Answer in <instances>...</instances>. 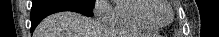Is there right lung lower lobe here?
Wrapping results in <instances>:
<instances>
[{
    "instance_id": "98d812e1",
    "label": "right lung lower lobe",
    "mask_w": 219,
    "mask_h": 37,
    "mask_svg": "<svg viewBox=\"0 0 219 37\" xmlns=\"http://www.w3.org/2000/svg\"><path fill=\"white\" fill-rule=\"evenodd\" d=\"M61 11H74L87 16L93 15L92 9H89L73 1L53 0V1L43 2L37 5H32L31 32L34 31L36 26L46 16Z\"/></svg>"
}]
</instances>
